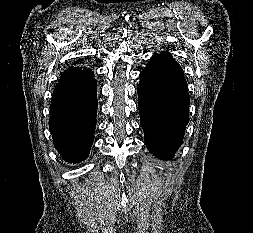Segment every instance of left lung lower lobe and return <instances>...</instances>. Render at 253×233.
I'll return each mask as SVG.
<instances>
[{
    "label": "left lung lower lobe",
    "mask_w": 253,
    "mask_h": 233,
    "mask_svg": "<svg viewBox=\"0 0 253 233\" xmlns=\"http://www.w3.org/2000/svg\"><path fill=\"white\" fill-rule=\"evenodd\" d=\"M138 108L148 150L172 159L189 121L190 98L182 68L168 52L154 54L140 73Z\"/></svg>",
    "instance_id": "obj_1"
}]
</instances>
